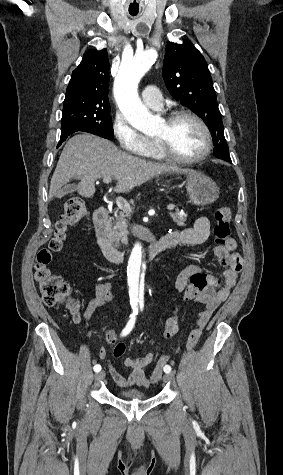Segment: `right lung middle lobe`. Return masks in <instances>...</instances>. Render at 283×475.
Wrapping results in <instances>:
<instances>
[{"mask_svg": "<svg viewBox=\"0 0 283 475\" xmlns=\"http://www.w3.org/2000/svg\"><path fill=\"white\" fill-rule=\"evenodd\" d=\"M62 132L74 130L113 139L112 119L108 99L65 98L62 112Z\"/></svg>", "mask_w": 283, "mask_h": 475, "instance_id": "right-lung-middle-lobe-1", "label": "right lung middle lobe"}]
</instances>
